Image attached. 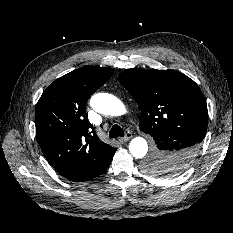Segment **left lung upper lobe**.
I'll list each match as a JSON object with an SVG mask.
<instances>
[{
	"mask_svg": "<svg viewBox=\"0 0 233 233\" xmlns=\"http://www.w3.org/2000/svg\"><path fill=\"white\" fill-rule=\"evenodd\" d=\"M142 111L140 129L153 136L156 132H180L192 137L197 145L205 137L208 123L206 101L197 84L175 70H129L118 77ZM160 151L154 150L144 169L156 176L181 174Z\"/></svg>",
	"mask_w": 233,
	"mask_h": 233,
	"instance_id": "5c2ea615",
	"label": "left lung upper lobe"
}]
</instances>
